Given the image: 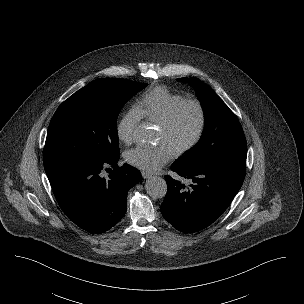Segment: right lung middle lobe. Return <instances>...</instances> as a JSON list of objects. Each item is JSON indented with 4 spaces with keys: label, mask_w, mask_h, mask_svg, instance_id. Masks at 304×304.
<instances>
[{
    "label": "right lung middle lobe",
    "mask_w": 304,
    "mask_h": 304,
    "mask_svg": "<svg viewBox=\"0 0 304 304\" xmlns=\"http://www.w3.org/2000/svg\"><path fill=\"white\" fill-rule=\"evenodd\" d=\"M147 86L121 78L90 82L64 101L47 132L44 166L72 160H109L120 155L116 121L124 104Z\"/></svg>",
    "instance_id": "obj_1"
}]
</instances>
